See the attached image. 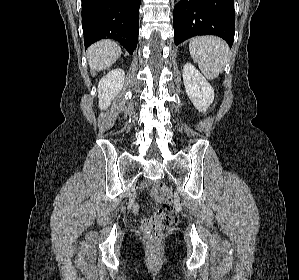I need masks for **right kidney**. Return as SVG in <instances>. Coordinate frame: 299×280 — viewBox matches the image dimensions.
<instances>
[{
  "instance_id": "1",
  "label": "right kidney",
  "mask_w": 299,
  "mask_h": 280,
  "mask_svg": "<svg viewBox=\"0 0 299 280\" xmlns=\"http://www.w3.org/2000/svg\"><path fill=\"white\" fill-rule=\"evenodd\" d=\"M125 73L122 69H114L101 78L98 84L100 109L110 105L111 100L121 91L124 85Z\"/></svg>"
}]
</instances>
